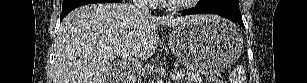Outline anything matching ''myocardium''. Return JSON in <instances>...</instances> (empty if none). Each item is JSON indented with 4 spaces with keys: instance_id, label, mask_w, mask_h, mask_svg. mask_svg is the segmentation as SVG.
<instances>
[{
    "instance_id": "1",
    "label": "myocardium",
    "mask_w": 307,
    "mask_h": 83,
    "mask_svg": "<svg viewBox=\"0 0 307 83\" xmlns=\"http://www.w3.org/2000/svg\"><path fill=\"white\" fill-rule=\"evenodd\" d=\"M198 0H170L166 2L163 7L172 11H181L190 6L191 3Z\"/></svg>"
}]
</instances>
